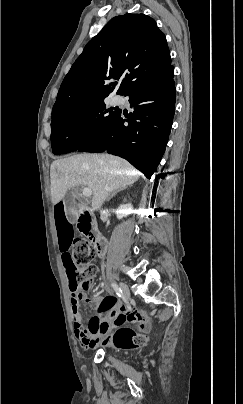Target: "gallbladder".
<instances>
[{
    "mask_svg": "<svg viewBox=\"0 0 243 404\" xmlns=\"http://www.w3.org/2000/svg\"><path fill=\"white\" fill-rule=\"evenodd\" d=\"M75 190H68L66 192L63 202L65 204V211H66V218L68 219V224L69 225H74L75 224V218H76V213L74 212V207L77 206V201H76V192Z\"/></svg>",
    "mask_w": 243,
    "mask_h": 404,
    "instance_id": "obj_1",
    "label": "gallbladder"
}]
</instances>
